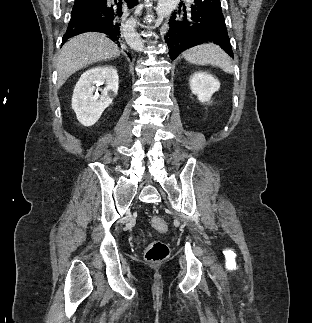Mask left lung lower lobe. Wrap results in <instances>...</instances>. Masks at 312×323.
I'll return each mask as SVG.
<instances>
[{"label": "left lung lower lobe", "mask_w": 312, "mask_h": 323, "mask_svg": "<svg viewBox=\"0 0 312 323\" xmlns=\"http://www.w3.org/2000/svg\"><path fill=\"white\" fill-rule=\"evenodd\" d=\"M164 37L172 60L203 43L218 44L233 57L220 0H194L187 9L180 6L169 19Z\"/></svg>", "instance_id": "obj_1"}]
</instances>
